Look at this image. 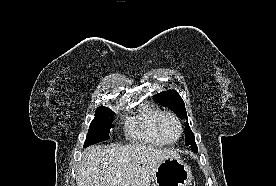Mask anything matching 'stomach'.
<instances>
[{"label":"stomach","mask_w":276,"mask_h":186,"mask_svg":"<svg viewBox=\"0 0 276 186\" xmlns=\"http://www.w3.org/2000/svg\"><path fill=\"white\" fill-rule=\"evenodd\" d=\"M191 181L190 167L179 156L169 157L159 165L153 186H189Z\"/></svg>","instance_id":"obj_1"}]
</instances>
